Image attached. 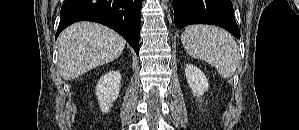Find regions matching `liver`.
<instances>
[{
  "mask_svg": "<svg viewBox=\"0 0 299 130\" xmlns=\"http://www.w3.org/2000/svg\"><path fill=\"white\" fill-rule=\"evenodd\" d=\"M58 66L63 79L73 80L118 58L126 41L101 24L77 22L58 37Z\"/></svg>",
  "mask_w": 299,
  "mask_h": 130,
  "instance_id": "1",
  "label": "liver"
}]
</instances>
